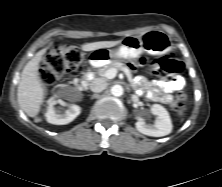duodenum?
Returning a JSON list of instances; mask_svg holds the SVG:
<instances>
[{
  "label": "duodenum",
  "instance_id": "410a0bca",
  "mask_svg": "<svg viewBox=\"0 0 222 187\" xmlns=\"http://www.w3.org/2000/svg\"><path fill=\"white\" fill-rule=\"evenodd\" d=\"M92 78H93V71H92L91 69H90V70H87V71L84 73L83 77H82V83H83V85H84L85 83H87L88 81H90Z\"/></svg>",
  "mask_w": 222,
  "mask_h": 187
}]
</instances>
